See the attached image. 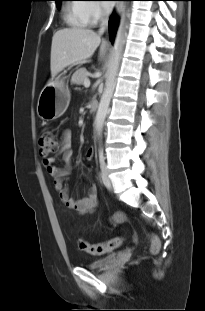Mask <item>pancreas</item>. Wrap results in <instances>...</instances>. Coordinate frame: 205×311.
<instances>
[{
	"mask_svg": "<svg viewBox=\"0 0 205 311\" xmlns=\"http://www.w3.org/2000/svg\"><path fill=\"white\" fill-rule=\"evenodd\" d=\"M87 70L85 68L78 69L71 78V83L76 85H81L84 83V80L87 78Z\"/></svg>",
	"mask_w": 205,
	"mask_h": 311,
	"instance_id": "obj_1",
	"label": "pancreas"
}]
</instances>
